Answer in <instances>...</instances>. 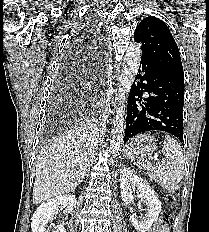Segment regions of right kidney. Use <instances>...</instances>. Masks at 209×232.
Here are the masks:
<instances>
[{
  "mask_svg": "<svg viewBox=\"0 0 209 232\" xmlns=\"http://www.w3.org/2000/svg\"><path fill=\"white\" fill-rule=\"evenodd\" d=\"M62 206L64 213H70L76 206V196L72 194L59 195L43 202L34 212L31 222L32 232H47V222L58 212ZM52 232H66L63 226L52 229Z\"/></svg>",
  "mask_w": 209,
  "mask_h": 232,
  "instance_id": "right-kidney-1",
  "label": "right kidney"
}]
</instances>
